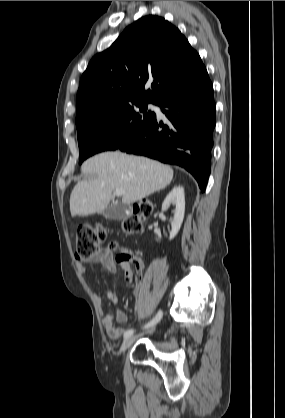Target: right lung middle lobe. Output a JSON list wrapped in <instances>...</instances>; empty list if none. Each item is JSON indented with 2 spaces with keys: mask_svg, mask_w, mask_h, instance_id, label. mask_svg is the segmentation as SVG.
<instances>
[{
  "mask_svg": "<svg viewBox=\"0 0 285 418\" xmlns=\"http://www.w3.org/2000/svg\"><path fill=\"white\" fill-rule=\"evenodd\" d=\"M147 105L142 101L117 105L76 124L79 163L98 152L115 150L140 133L155 117L147 112Z\"/></svg>",
  "mask_w": 285,
  "mask_h": 418,
  "instance_id": "1",
  "label": "right lung middle lobe"
}]
</instances>
